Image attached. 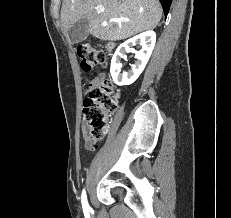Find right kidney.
I'll return each mask as SVG.
<instances>
[{"instance_id": "1", "label": "right kidney", "mask_w": 231, "mask_h": 218, "mask_svg": "<svg viewBox=\"0 0 231 218\" xmlns=\"http://www.w3.org/2000/svg\"><path fill=\"white\" fill-rule=\"evenodd\" d=\"M155 42V32L147 31L128 39L116 49L110 67V73L115 84L119 86L130 85L139 77L151 56ZM137 44L142 47L140 51L135 52L137 60L131 65V70L121 72V58L125 57V53L133 52V46Z\"/></svg>"}]
</instances>
